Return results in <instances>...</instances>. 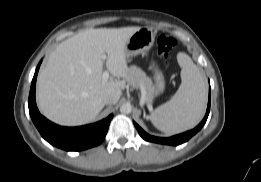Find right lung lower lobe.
<instances>
[{"instance_id": "right-lung-lower-lobe-1", "label": "right lung lower lobe", "mask_w": 261, "mask_h": 182, "mask_svg": "<svg viewBox=\"0 0 261 182\" xmlns=\"http://www.w3.org/2000/svg\"><path fill=\"white\" fill-rule=\"evenodd\" d=\"M42 60L38 64L29 94V113L41 136L53 146L66 151H81L99 145L108 131L113 114L95 124L81 127H61L43 117L35 101L36 78Z\"/></svg>"}]
</instances>
